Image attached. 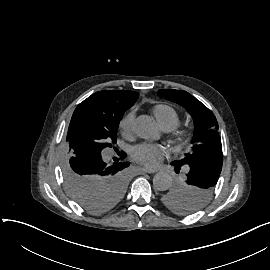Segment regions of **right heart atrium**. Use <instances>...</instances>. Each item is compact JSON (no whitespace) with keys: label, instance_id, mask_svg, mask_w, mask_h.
<instances>
[{"label":"right heart atrium","instance_id":"d8ad5b80","mask_svg":"<svg viewBox=\"0 0 270 270\" xmlns=\"http://www.w3.org/2000/svg\"><path fill=\"white\" fill-rule=\"evenodd\" d=\"M135 114L134 112L127 113L120 121H119V131L123 137L128 140H133L135 137Z\"/></svg>","mask_w":270,"mask_h":270}]
</instances>
